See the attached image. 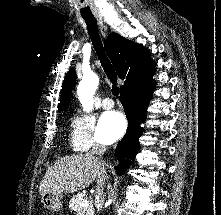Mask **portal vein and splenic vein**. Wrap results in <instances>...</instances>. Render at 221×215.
<instances>
[{
    "label": "portal vein and splenic vein",
    "instance_id": "obj_1",
    "mask_svg": "<svg viewBox=\"0 0 221 215\" xmlns=\"http://www.w3.org/2000/svg\"><path fill=\"white\" fill-rule=\"evenodd\" d=\"M89 202L87 200L80 203V207L88 206Z\"/></svg>",
    "mask_w": 221,
    "mask_h": 215
}]
</instances>
